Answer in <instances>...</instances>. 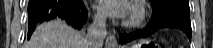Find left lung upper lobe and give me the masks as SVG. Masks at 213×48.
Instances as JSON below:
<instances>
[{
    "label": "left lung upper lobe",
    "instance_id": "1",
    "mask_svg": "<svg viewBox=\"0 0 213 48\" xmlns=\"http://www.w3.org/2000/svg\"><path fill=\"white\" fill-rule=\"evenodd\" d=\"M152 3L153 12L164 7H177L185 11H190L189 0H150Z\"/></svg>",
    "mask_w": 213,
    "mask_h": 48
}]
</instances>
